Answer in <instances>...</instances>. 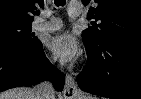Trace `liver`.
Masks as SVG:
<instances>
[{
	"mask_svg": "<svg viewBox=\"0 0 141 99\" xmlns=\"http://www.w3.org/2000/svg\"><path fill=\"white\" fill-rule=\"evenodd\" d=\"M0 99H35L34 88H13L0 93Z\"/></svg>",
	"mask_w": 141,
	"mask_h": 99,
	"instance_id": "obj_1",
	"label": "liver"
}]
</instances>
